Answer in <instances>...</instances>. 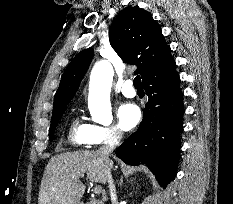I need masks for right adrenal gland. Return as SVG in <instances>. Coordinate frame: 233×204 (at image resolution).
Instances as JSON below:
<instances>
[{
	"instance_id": "1",
	"label": "right adrenal gland",
	"mask_w": 233,
	"mask_h": 204,
	"mask_svg": "<svg viewBox=\"0 0 233 204\" xmlns=\"http://www.w3.org/2000/svg\"><path fill=\"white\" fill-rule=\"evenodd\" d=\"M122 182H123V179L121 178V184H122Z\"/></svg>"
}]
</instances>
